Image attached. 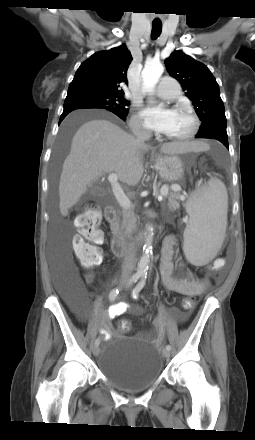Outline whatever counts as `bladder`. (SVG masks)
I'll list each match as a JSON object with an SVG mask.
<instances>
[{
  "instance_id": "obj_1",
  "label": "bladder",
  "mask_w": 255,
  "mask_h": 440,
  "mask_svg": "<svg viewBox=\"0 0 255 440\" xmlns=\"http://www.w3.org/2000/svg\"><path fill=\"white\" fill-rule=\"evenodd\" d=\"M99 371L115 389L139 393L159 380L163 359L154 345L138 337L111 339L105 343Z\"/></svg>"
}]
</instances>
